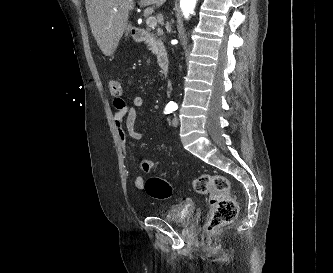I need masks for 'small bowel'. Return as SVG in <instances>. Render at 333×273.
<instances>
[{"label": "small bowel", "instance_id": "1", "mask_svg": "<svg viewBox=\"0 0 333 273\" xmlns=\"http://www.w3.org/2000/svg\"><path fill=\"white\" fill-rule=\"evenodd\" d=\"M112 103H115L116 111L113 116V124L117 131L123 151L128 153V138L140 140L143 137L142 132L137 128L138 112L144 105L143 96H135L132 105L126 107V101H123V96H112ZM153 164V163H152ZM134 187L143 189L145 180L141 175L134 178Z\"/></svg>", "mask_w": 333, "mask_h": 273}]
</instances>
